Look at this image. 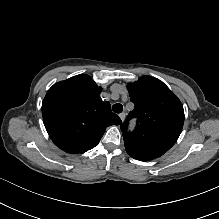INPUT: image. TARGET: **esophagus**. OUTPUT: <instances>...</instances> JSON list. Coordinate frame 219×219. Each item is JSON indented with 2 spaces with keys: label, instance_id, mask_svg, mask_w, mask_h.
<instances>
[{
  "label": "esophagus",
  "instance_id": "34e87169",
  "mask_svg": "<svg viewBox=\"0 0 219 219\" xmlns=\"http://www.w3.org/2000/svg\"><path fill=\"white\" fill-rule=\"evenodd\" d=\"M119 117H120L121 121L124 122V120H125V113L124 112L120 113Z\"/></svg>",
  "mask_w": 219,
  "mask_h": 219
}]
</instances>
